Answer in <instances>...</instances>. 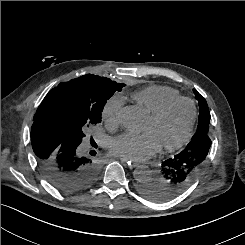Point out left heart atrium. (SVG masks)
I'll return each mask as SVG.
<instances>
[{
  "instance_id": "1",
  "label": "left heart atrium",
  "mask_w": 245,
  "mask_h": 245,
  "mask_svg": "<svg viewBox=\"0 0 245 245\" xmlns=\"http://www.w3.org/2000/svg\"><path fill=\"white\" fill-rule=\"evenodd\" d=\"M111 146L116 155L132 161L146 160L158 150V146L149 133L122 134L112 141Z\"/></svg>"
}]
</instances>
